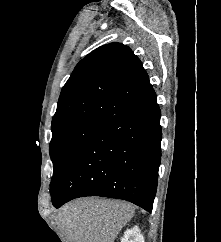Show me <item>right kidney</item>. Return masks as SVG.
<instances>
[{
  "mask_svg": "<svg viewBox=\"0 0 221 242\" xmlns=\"http://www.w3.org/2000/svg\"><path fill=\"white\" fill-rule=\"evenodd\" d=\"M139 230L137 227L133 229L126 230L124 236L121 238V242H138Z\"/></svg>",
  "mask_w": 221,
  "mask_h": 242,
  "instance_id": "obj_1",
  "label": "right kidney"
}]
</instances>
